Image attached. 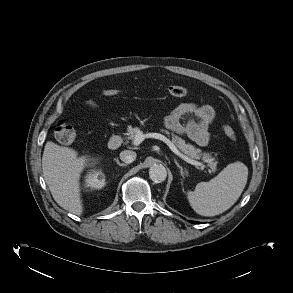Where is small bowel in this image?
I'll return each instance as SVG.
<instances>
[{
  "label": "small bowel",
  "mask_w": 293,
  "mask_h": 293,
  "mask_svg": "<svg viewBox=\"0 0 293 293\" xmlns=\"http://www.w3.org/2000/svg\"><path fill=\"white\" fill-rule=\"evenodd\" d=\"M85 104L93 109L98 105L93 100ZM215 119V110L207 103H182L164 120L166 128L174 133L186 136L199 146H206L211 138L209 126Z\"/></svg>",
  "instance_id": "small-bowel-1"
}]
</instances>
